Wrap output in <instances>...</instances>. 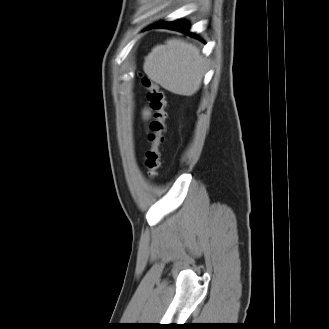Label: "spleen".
<instances>
[{"mask_svg": "<svg viewBox=\"0 0 329 329\" xmlns=\"http://www.w3.org/2000/svg\"><path fill=\"white\" fill-rule=\"evenodd\" d=\"M143 69L164 89L191 96L200 88L205 60L195 45L181 39H169L164 45H156L145 57Z\"/></svg>", "mask_w": 329, "mask_h": 329, "instance_id": "3e777b00", "label": "spleen"}]
</instances>
